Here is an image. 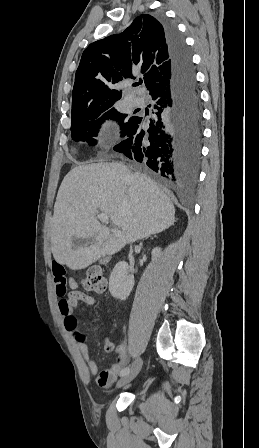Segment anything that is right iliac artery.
<instances>
[{
  "label": "right iliac artery",
  "mask_w": 259,
  "mask_h": 448,
  "mask_svg": "<svg viewBox=\"0 0 259 448\" xmlns=\"http://www.w3.org/2000/svg\"><path fill=\"white\" fill-rule=\"evenodd\" d=\"M129 371H130V368H129V367H125V368H123V369L121 370V372H120V376H124V375H126Z\"/></svg>",
  "instance_id": "1"
}]
</instances>
